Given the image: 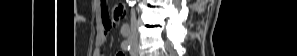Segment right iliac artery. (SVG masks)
<instances>
[{
  "label": "right iliac artery",
  "instance_id": "right-iliac-artery-1",
  "mask_svg": "<svg viewBox=\"0 0 297 56\" xmlns=\"http://www.w3.org/2000/svg\"><path fill=\"white\" fill-rule=\"evenodd\" d=\"M121 48L125 51H128L130 49V43L127 40L123 41L121 43Z\"/></svg>",
  "mask_w": 297,
  "mask_h": 56
}]
</instances>
